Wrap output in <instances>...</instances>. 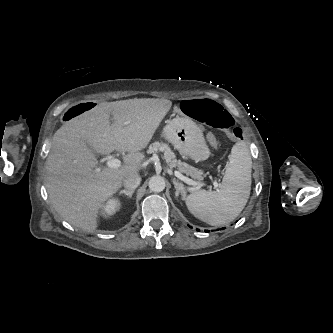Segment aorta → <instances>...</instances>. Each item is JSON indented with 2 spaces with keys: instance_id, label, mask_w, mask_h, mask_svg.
<instances>
[{
  "instance_id": "762f6f07",
  "label": "aorta",
  "mask_w": 333,
  "mask_h": 333,
  "mask_svg": "<svg viewBox=\"0 0 333 333\" xmlns=\"http://www.w3.org/2000/svg\"><path fill=\"white\" fill-rule=\"evenodd\" d=\"M149 188L153 192H161L165 189V180L160 175L151 177L149 181Z\"/></svg>"
}]
</instances>
